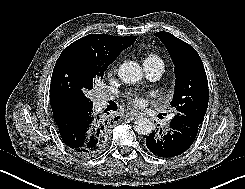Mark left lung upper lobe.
<instances>
[{"label":"left lung upper lobe","mask_w":245,"mask_h":189,"mask_svg":"<svg viewBox=\"0 0 245 189\" xmlns=\"http://www.w3.org/2000/svg\"><path fill=\"white\" fill-rule=\"evenodd\" d=\"M167 48L175 65V91L170 105L177 116H189L203 122L209 99L208 81L202 60L196 50L168 32L155 34Z\"/></svg>","instance_id":"1"}]
</instances>
